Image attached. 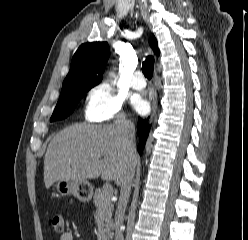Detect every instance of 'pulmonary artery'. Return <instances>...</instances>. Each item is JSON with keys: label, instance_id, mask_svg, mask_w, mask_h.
I'll list each match as a JSON object with an SVG mask.
<instances>
[{"label": "pulmonary artery", "instance_id": "e3ab8cb5", "mask_svg": "<svg viewBox=\"0 0 248 240\" xmlns=\"http://www.w3.org/2000/svg\"><path fill=\"white\" fill-rule=\"evenodd\" d=\"M131 85L136 90H141L145 87L146 82L141 71H135L132 75Z\"/></svg>", "mask_w": 248, "mask_h": 240}]
</instances>
